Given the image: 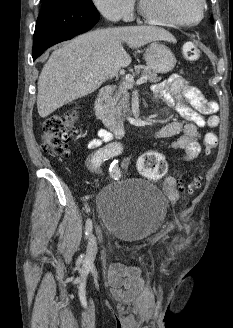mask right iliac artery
I'll return each instance as SVG.
<instances>
[{
  "label": "right iliac artery",
  "mask_w": 233,
  "mask_h": 328,
  "mask_svg": "<svg viewBox=\"0 0 233 328\" xmlns=\"http://www.w3.org/2000/svg\"><path fill=\"white\" fill-rule=\"evenodd\" d=\"M122 148L119 144H110L102 150L97 151L91 159V166L94 170L99 168V166L106 160L113 158L121 153ZM92 231V221L90 219L86 220L85 226V234L86 237H89ZM84 255L80 256V260H82Z\"/></svg>",
  "instance_id": "right-iliac-artery-1"
}]
</instances>
